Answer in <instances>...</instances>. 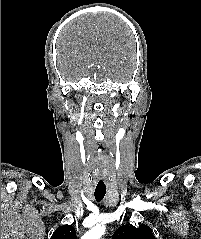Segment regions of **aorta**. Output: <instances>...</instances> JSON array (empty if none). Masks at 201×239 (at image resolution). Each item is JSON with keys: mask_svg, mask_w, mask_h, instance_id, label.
Segmentation results:
<instances>
[{"mask_svg": "<svg viewBox=\"0 0 201 239\" xmlns=\"http://www.w3.org/2000/svg\"><path fill=\"white\" fill-rule=\"evenodd\" d=\"M104 233H105V227L98 225L93 227L86 234H84L81 239H100V237Z\"/></svg>", "mask_w": 201, "mask_h": 239, "instance_id": "1", "label": "aorta"}]
</instances>
